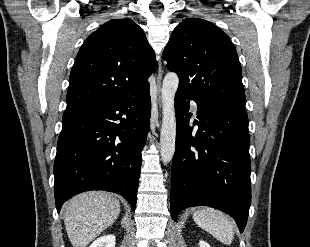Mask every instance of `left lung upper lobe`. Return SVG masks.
<instances>
[{"mask_svg": "<svg viewBox=\"0 0 310 247\" xmlns=\"http://www.w3.org/2000/svg\"><path fill=\"white\" fill-rule=\"evenodd\" d=\"M163 58L179 77L178 90L201 101L245 109L235 46L213 23L184 19L172 32Z\"/></svg>", "mask_w": 310, "mask_h": 247, "instance_id": "1", "label": "left lung upper lobe"}]
</instances>
